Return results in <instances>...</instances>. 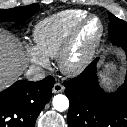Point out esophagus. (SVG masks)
I'll list each match as a JSON object with an SVG mask.
<instances>
[{
  "label": "esophagus",
  "instance_id": "34e87169",
  "mask_svg": "<svg viewBox=\"0 0 127 127\" xmlns=\"http://www.w3.org/2000/svg\"><path fill=\"white\" fill-rule=\"evenodd\" d=\"M64 91V86L61 83H55L52 89L53 93H61Z\"/></svg>",
  "mask_w": 127,
  "mask_h": 127
}]
</instances>
